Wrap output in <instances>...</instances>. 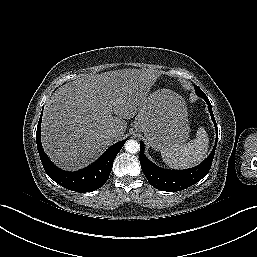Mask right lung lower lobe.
Instances as JSON below:
<instances>
[{"label": "right lung lower lobe", "instance_id": "right-lung-lower-lobe-1", "mask_svg": "<svg viewBox=\"0 0 257 257\" xmlns=\"http://www.w3.org/2000/svg\"><path fill=\"white\" fill-rule=\"evenodd\" d=\"M41 119L42 113L37 126L36 142L38 153L47 175L62 187L80 193L91 192L102 187L108 180L113 161L126 140L112 145L99 159L88 167L79 171L68 172L55 166L45 154L40 137Z\"/></svg>", "mask_w": 257, "mask_h": 257}]
</instances>
